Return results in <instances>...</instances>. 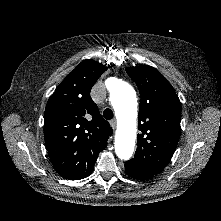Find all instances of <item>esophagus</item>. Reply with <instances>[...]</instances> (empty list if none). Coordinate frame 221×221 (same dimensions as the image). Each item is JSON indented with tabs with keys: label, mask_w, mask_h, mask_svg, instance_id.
Here are the masks:
<instances>
[{
	"label": "esophagus",
	"mask_w": 221,
	"mask_h": 221,
	"mask_svg": "<svg viewBox=\"0 0 221 221\" xmlns=\"http://www.w3.org/2000/svg\"><path fill=\"white\" fill-rule=\"evenodd\" d=\"M110 124H111V127H112L113 129L116 128V120H115V119L111 120V121H110Z\"/></svg>",
	"instance_id": "34e87169"
}]
</instances>
